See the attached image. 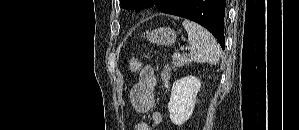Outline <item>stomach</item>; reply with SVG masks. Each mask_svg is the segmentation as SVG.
I'll list each match as a JSON object with an SVG mask.
<instances>
[{
	"instance_id": "0dacf381",
	"label": "stomach",
	"mask_w": 299,
	"mask_h": 130,
	"mask_svg": "<svg viewBox=\"0 0 299 130\" xmlns=\"http://www.w3.org/2000/svg\"><path fill=\"white\" fill-rule=\"evenodd\" d=\"M146 38L150 43L171 46L175 43L177 34L169 27H161L150 32H147Z\"/></svg>"
}]
</instances>
